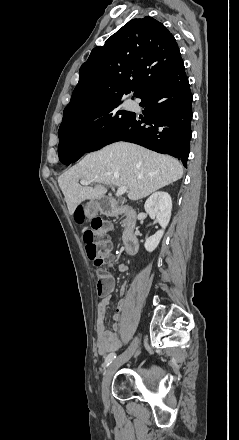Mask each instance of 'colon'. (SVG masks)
Returning a JSON list of instances; mask_svg holds the SVG:
<instances>
[{"label": "colon", "instance_id": "colon-1", "mask_svg": "<svg viewBox=\"0 0 239 440\" xmlns=\"http://www.w3.org/2000/svg\"><path fill=\"white\" fill-rule=\"evenodd\" d=\"M82 210H78V215L82 217ZM111 229L109 221L100 217L94 218L90 229L84 232V242L87 257L101 270L99 271V280L97 290L99 294H104L109 287V273L102 269L112 265L111 249L112 245L108 237Z\"/></svg>", "mask_w": 239, "mask_h": 440}]
</instances>
